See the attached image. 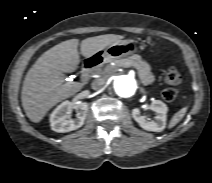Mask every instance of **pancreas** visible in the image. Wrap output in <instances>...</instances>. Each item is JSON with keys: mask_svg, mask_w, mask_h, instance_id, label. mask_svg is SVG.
<instances>
[{"mask_svg": "<svg viewBox=\"0 0 212 183\" xmlns=\"http://www.w3.org/2000/svg\"><path fill=\"white\" fill-rule=\"evenodd\" d=\"M115 66H109L107 70H115L117 67H133L137 69L138 76L143 83V85L147 86L154 82V75L151 72L150 65L142 60L141 56L134 54L132 56H128L126 58L117 59L114 61Z\"/></svg>", "mask_w": 212, "mask_h": 183, "instance_id": "cf45deb5", "label": "pancreas"}]
</instances>
